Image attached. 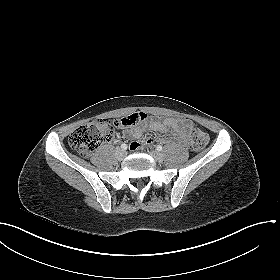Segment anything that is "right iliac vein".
<instances>
[{
    "label": "right iliac vein",
    "instance_id": "obj_1",
    "mask_svg": "<svg viewBox=\"0 0 280 280\" xmlns=\"http://www.w3.org/2000/svg\"><path fill=\"white\" fill-rule=\"evenodd\" d=\"M116 157L118 160H123L126 157V152L124 150H118Z\"/></svg>",
    "mask_w": 280,
    "mask_h": 280
}]
</instances>
